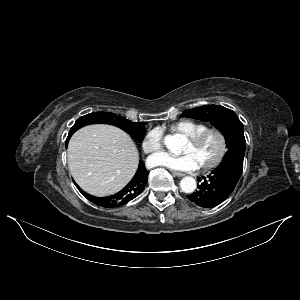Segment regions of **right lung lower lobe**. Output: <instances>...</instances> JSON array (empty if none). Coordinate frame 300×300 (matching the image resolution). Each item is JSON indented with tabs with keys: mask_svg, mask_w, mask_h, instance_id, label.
Segmentation results:
<instances>
[{
	"mask_svg": "<svg viewBox=\"0 0 300 300\" xmlns=\"http://www.w3.org/2000/svg\"><path fill=\"white\" fill-rule=\"evenodd\" d=\"M148 174L149 171L145 169L144 163L140 161L135 176L125 188H123L121 191L114 195L102 198L89 195L86 192L79 189L76 183L75 185L89 201L105 208H114L122 206L134 199L135 197H137L146 186Z\"/></svg>",
	"mask_w": 300,
	"mask_h": 300,
	"instance_id": "obj_1",
	"label": "right lung lower lobe"
}]
</instances>
